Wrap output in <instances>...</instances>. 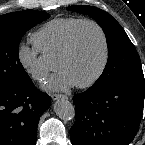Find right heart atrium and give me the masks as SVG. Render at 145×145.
Wrapping results in <instances>:
<instances>
[{"label": "right heart atrium", "mask_w": 145, "mask_h": 145, "mask_svg": "<svg viewBox=\"0 0 145 145\" xmlns=\"http://www.w3.org/2000/svg\"><path fill=\"white\" fill-rule=\"evenodd\" d=\"M41 52L35 46L20 43L16 49V57L20 67L33 80L42 82L48 74V69L42 64Z\"/></svg>", "instance_id": "right-heart-atrium-1"}]
</instances>
